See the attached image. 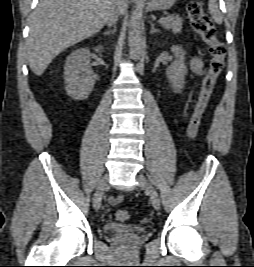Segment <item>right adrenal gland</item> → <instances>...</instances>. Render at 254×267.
I'll list each match as a JSON object with an SVG mask.
<instances>
[{
  "label": "right adrenal gland",
  "mask_w": 254,
  "mask_h": 267,
  "mask_svg": "<svg viewBox=\"0 0 254 267\" xmlns=\"http://www.w3.org/2000/svg\"><path fill=\"white\" fill-rule=\"evenodd\" d=\"M115 30H116V27H114V29H112V30L105 31L104 33H105V35L114 34L115 33Z\"/></svg>",
  "instance_id": "1"
}]
</instances>
